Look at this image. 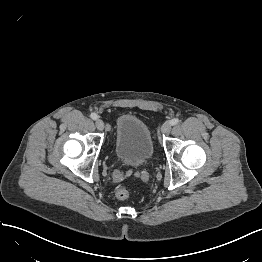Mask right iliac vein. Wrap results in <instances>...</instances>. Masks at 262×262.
<instances>
[{
	"instance_id": "right-iliac-vein-1",
	"label": "right iliac vein",
	"mask_w": 262,
	"mask_h": 262,
	"mask_svg": "<svg viewBox=\"0 0 262 262\" xmlns=\"http://www.w3.org/2000/svg\"><path fill=\"white\" fill-rule=\"evenodd\" d=\"M96 127L101 131L104 129V123L101 119L96 120Z\"/></svg>"
}]
</instances>
